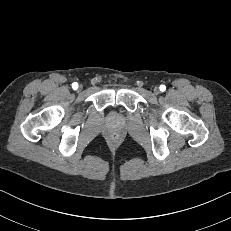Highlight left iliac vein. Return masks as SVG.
Wrapping results in <instances>:
<instances>
[{"instance_id":"1","label":"left iliac vein","mask_w":231,"mask_h":231,"mask_svg":"<svg viewBox=\"0 0 231 231\" xmlns=\"http://www.w3.org/2000/svg\"><path fill=\"white\" fill-rule=\"evenodd\" d=\"M153 91H154V93H155L156 95L160 93V90H159L158 87H155Z\"/></svg>"}]
</instances>
